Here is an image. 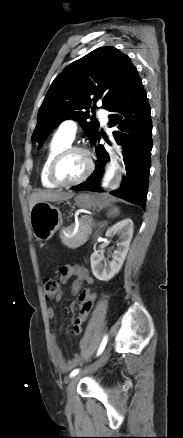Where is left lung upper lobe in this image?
I'll return each instance as SVG.
<instances>
[{
    "label": "left lung upper lobe",
    "instance_id": "obj_1",
    "mask_svg": "<svg viewBox=\"0 0 183 438\" xmlns=\"http://www.w3.org/2000/svg\"><path fill=\"white\" fill-rule=\"evenodd\" d=\"M137 77L129 57L114 47L97 48L74 61L52 82L39 109L32 140L42 144L56 125L74 119L93 141L99 123L90 118L88 110L94 111L100 97L102 107L110 109Z\"/></svg>",
    "mask_w": 183,
    "mask_h": 438
}]
</instances>
